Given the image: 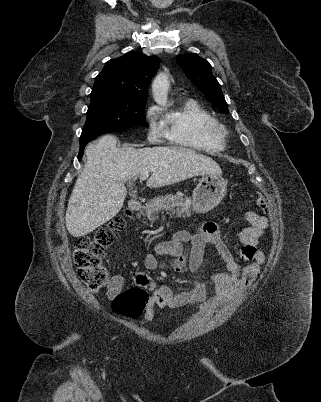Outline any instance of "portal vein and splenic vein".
Returning a JSON list of instances; mask_svg holds the SVG:
<instances>
[{
    "label": "portal vein and splenic vein",
    "instance_id": "18ae733b",
    "mask_svg": "<svg viewBox=\"0 0 321 402\" xmlns=\"http://www.w3.org/2000/svg\"><path fill=\"white\" fill-rule=\"evenodd\" d=\"M149 177V172H144L140 175V180H146Z\"/></svg>",
    "mask_w": 321,
    "mask_h": 402
}]
</instances>
